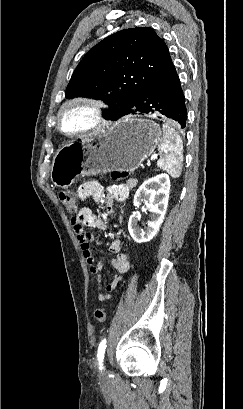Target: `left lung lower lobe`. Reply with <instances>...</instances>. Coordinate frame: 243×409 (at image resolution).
Segmentation results:
<instances>
[{
    "label": "left lung lower lobe",
    "instance_id": "left-lung-lower-lobe-1",
    "mask_svg": "<svg viewBox=\"0 0 243 409\" xmlns=\"http://www.w3.org/2000/svg\"><path fill=\"white\" fill-rule=\"evenodd\" d=\"M137 113H160L179 122L182 128L186 126L185 98L174 66L141 92L127 110L118 114L117 119Z\"/></svg>",
    "mask_w": 243,
    "mask_h": 409
}]
</instances>
